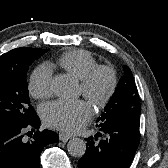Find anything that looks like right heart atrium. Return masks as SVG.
<instances>
[{"instance_id":"d8ad5b80","label":"right heart atrium","mask_w":168,"mask_h":168,"mask_svg":"<svg viewBox=\"0 0 168 168\" xmlns=\"http://www.w3.org/2000/svg\"><path fill=\"white\" fill-rule=\"evenodd\" d=\"M28 90L35 99H45L52 94V71L49 66L41 65L33 71Z\"/></svg>"}]
</instances>
